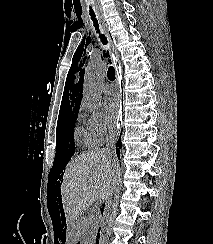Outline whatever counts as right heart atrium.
Returning <instances> with one entry per match:
<instances>
[{
    "instance_id": "d8ad5b80",
    "label": "right heart atrium",
    "mask_w": 213,
    "mask_h": 244,
    "mask_svg": "<svg viewBox=\"0 0 213 244\" xmlns=\"http://www.w3.org/2000/svg\"><path fill=\"white\" fill-rule=\"evenodd\" d=\"M81 117L88 145L101 144L109 133L101 113L97 110L83 108Z\"/></svg>"
}]
</instances>
